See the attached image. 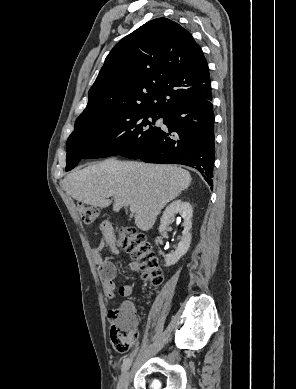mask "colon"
<instances>
[{
    "mask_svg": "<svg viewBox=\"0 0 296 389\" xmlns=\"http://www.w3.org/2000/svg\"><path fill=\"white\" fill-rule=\"evenodd\" d=\"M78 213L87 225H94L99 218V210L96 207L83 203L78 205ZM117 245L127 251L138 263L142 279L146 284L157 287L163 282L158 258L144 234L132 229H124L117 240ZM108 317L114 348L119 352H126L138 336L133 308L112 309Z\"/></svg>",
    "mask_w": 296,
    "mask_h": 389,
    "instance_id": "5ec220e1",
    "label": "colon"
}]
</instances>
